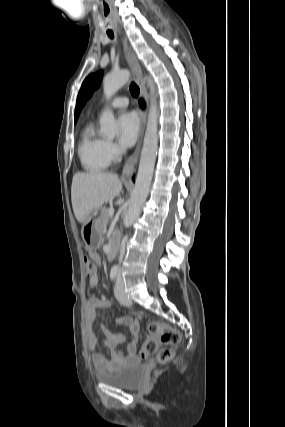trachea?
Masks as SVG:
<instances>
[{"mask_svg":"<svg viewBox=\"0 0 285 427\" xmlns=\"http://www.w3.org/2000/svg\"><path fill=\"white\" fill-rule=\"evenodd\" d=\"M107 34L110 38H113L112 31H108ZM129 90L133 97H138L140 90H139V87L134 82L131 83Z\"/></svg>","mask_w":285,"mask_h":427,"instance_id":"3493384b","label":"trachea"}]
</instances>
